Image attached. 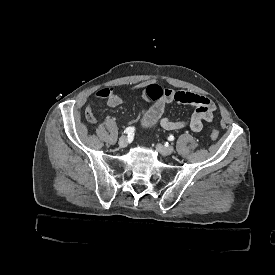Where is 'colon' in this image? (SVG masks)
<instances>
[{"label": "colon", "mask_w": 275, "mask_h": 275, "mask_svg": "<svg viewBox=\"0 0 275 275\" xmlns=\"http://www.w3.org/2000/svg\"><path fill=\"white\" fill-rule=\"evenodd\" d=\"M161 92H162V87H161V85H159V84L151 85V86L149 87V94H150L151 96L159 95V94H161ZM86 115H87V117H88V120H89L91 123H94V122L96 121V119H95V117H94V115H93V110H92L91 108H88V109L86 110ZM210 135H211V139H212V140H216V139L218 138V136H219V132H218V130H217L216 128H213V129L211 130Z\"/></svg>", "instance_id": "1"}]
</instances>
